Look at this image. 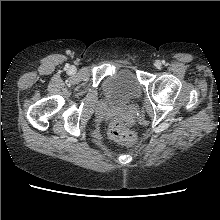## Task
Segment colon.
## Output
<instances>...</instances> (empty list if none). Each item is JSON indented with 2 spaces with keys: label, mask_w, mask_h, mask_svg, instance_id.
I'll list each match as a JSON object with an SVG mask.
<instances>
[{
  "label": "colon",
  "mask_w": 220,
  "mask_h": 220,
  "mask_svg": "<svg viewBox=\"0 0 220 220\" xmlns=\"http://www.w3.org/2000/svg\"><path fill=\"white\" fill-rule=\"evenodd\" d=\"M110 134L118 142L131 145L135 142L134 134L128 129L123 121L115 119L110 126Z\"/></svg>",
  "instance_id": "obj_1"
}]
</instances>
